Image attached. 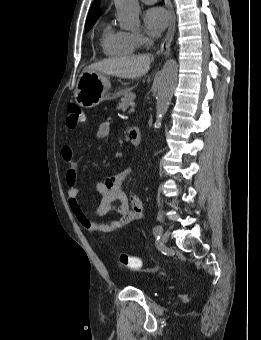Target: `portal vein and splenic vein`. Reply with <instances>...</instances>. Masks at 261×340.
Returning <instances> with one entry per match:
<instances>
[{
    "instance_id": "1",
    "label": "portal vein and splenic vein",
    "mask_w": 261,
    "mask_h": 340,
    "mask_svg": "<svg viewBox=\"0 0 261 340\" xmlns=\"http://www.w3.org/2000/svg\"><path fill=\"white\" fill-rule=\"evenodd\" d=\"M130 111H131V112H134V111H135V106H134V105L130 108Z\"/></svg>"
}]
</instances>
